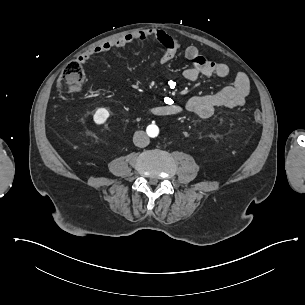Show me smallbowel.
<instances>
[{"instance_id": "c3829d8e", "label": "small bowel", "mask_w": 305, "mask_h": 305, "mask_svg": "<svg viewBox=\"0 0 305 305\" xmlns=\"http://www.w3.org/2000/svg\"><path fill=\"white\" fill-rule=\"evenodd\" d=\"M150 38L157 40L164 47V52L150 62V68L167 64L175 57L180 56L192 63L183 72V77L187 81H196L200 76L210 77L214 75L219 78H226L230 74V69L226 64L214 62L206 58L195 46H182L167 32L159 29L140 30L105 41L81 53L78 61L86 63L96 55ZM249 93L250 83L248 77L244 73H238L235 75L232 85L226 86L217 92L190 97L183 104L177 103L172 97L168 96L162 104L154 106L153 109L165 115H177L188 111L201 118H208L212 116L215 109L220 107H242Z\"/></svg>"}]
</instances>
